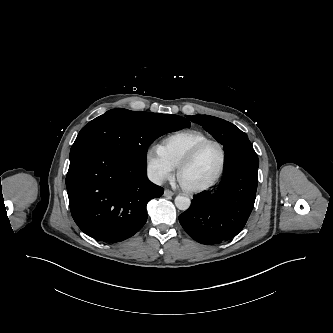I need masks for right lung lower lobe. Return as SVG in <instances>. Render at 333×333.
Listing matches in <instances>:
<instances>
[{
    "label": "right lung lower lobe",
    "instance_id": "obj_1",
    "mask_svg": "<svg viewBox=\"0 0 333 333\" xmlns=\"http://www.w3.org/2000/svg\"><path fill=\"white\" fill-rule=\"evenodd\" d=\"M69 158L66 187L79 228L113 243L138 232L147 220L148 201L164 192L148 180L147 166L90 142L72 147Z\"/></svg>",
    "mask_w": 333,
    "mask_h": 333
}]
</instances>
